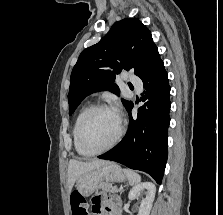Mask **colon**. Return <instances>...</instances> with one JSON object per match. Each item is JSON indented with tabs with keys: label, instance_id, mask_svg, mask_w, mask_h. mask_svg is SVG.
Listing matches in <instances>:
<instances>
[{
	"label": "colon",
	"instance_id": "5ec220e1",
	"mask_svg": "<svg viewBox=\"0 0 223 215\" xmlns=\"http://www.w3.org/2000/svg\"><path fill=\"white\" fill-rule=\"evenodd\" d=\"M70 203L72 215H87L85 199L78 191L72 193Z\"/></svg>",
	"mask_w": 223,
	"mask_h": 215
}]
</instances>
